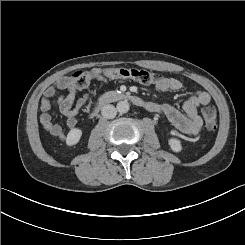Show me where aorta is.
Segmentation results:
<instances>
[{
	"label": "aorta",
	"instance_id": "1",
	"mask_svg": "<svg viewBox=\"0 0 245 245\" xmlns=\"http://www.w3.org/2000/svg\"><path fill=\"white\" fill-rule=\"evenodd\" d=\"M116 107H117V111L121 114L127 113L130 109L129 103L126 100L119 101Z\"/></svg>",
	"mask_w": 245,
	"mask_h": 245
}]
</instances>
